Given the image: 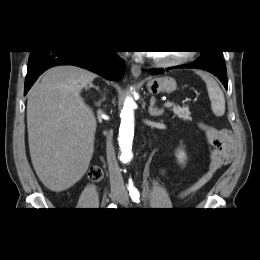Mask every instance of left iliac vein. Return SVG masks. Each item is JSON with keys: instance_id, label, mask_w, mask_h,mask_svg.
<instances>
[{"instance_id": "left-iliac-vein-1", "label": "left iliac vein", "mask_w": 260, "mask_h": 260, "mask_svg": "<svg viewBox=\"0 0 260 260\" xmlns=\"http://www.w3.org/2000/svg\"><path fill=\"white\" fill-rule=\"evenodd\" d=\"M118 201L120 202V204L122 205H128V202H129V198H128V194L127 192H123L121 194V196L118 198Z\"/></svg>"}]
</instances>
